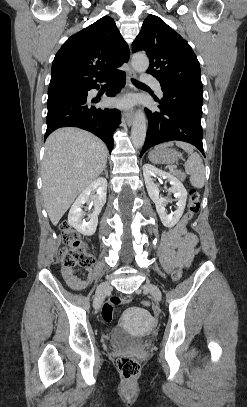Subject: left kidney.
I'll list each match as a JSON object with an SVG mask.
<instances>
[{
    "label": "left kidney",
    "instance_id": "obj_1",
    "mask_svg": "<svg viewBox=\"0 0 247 407\" xmlns=\"http://www.w3.org/2000/svg\"><path fill=\"white\" fill-rule=\"evenodd\" d=\"M143 176L147 192L151 200L155 203L157 213L161 219L162 224L165 227L171 228L175 226L180 220L186 205L187 191L179 179L170 173L164 172L151 164H145L143 166ZM152 177H158L169 181L171 187L168 189L170 193L174 194L177 200V209L172 214H167L165 210V198L159 195V188L157 184L153 182Z\"/></svg>",
    "mask_w": 247,
    "mask_h": 407
}]
</instances>
